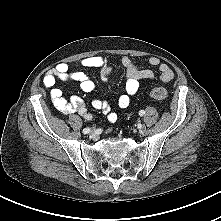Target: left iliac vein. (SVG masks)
<instances>
[{"mask_svg": "<svg viewBox=\"0 0 221 221\" xmlns=\"http://www.w3.org/2000/svg\"><path fill=\"white\" fill-rule=\"evenodd\" d=\"M138 131L139 133L143 134L146 131V126L144 124L140 125Z\"/></svg>", "mask_w": 221, "mask_h": 221, "instance_id": "obj_1", "label": "left iliac vein"}]
</instances>
